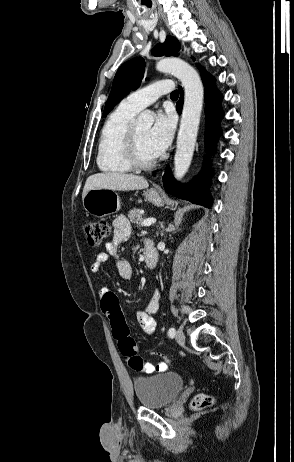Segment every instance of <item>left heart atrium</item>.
I'll use <instances>...</instances> for the list:
<instances>
[{"label": "left heart atrium", "mask_w": 294, "mask_h": 462, "mask_svg": "<svg viewBox=\"0 0 294 462\" xmlns=\"http://www.w3.org/2000/svg\"><path fill=\"white\" fill-rule=\"evenodd\" d=\"M174 130L175 121L171 113L159 112L156 114L154 124L148 133L149 146L156 156L162 154L169 146Z\"/></svg>", "instance_id": "39dd6f15"}]
</instances>
